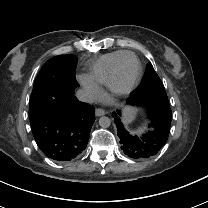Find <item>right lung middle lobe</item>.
I'll return each instance as SVG.
<instances>
[{
  "mask_svg": "<svg viewBox=\"0 0 208 208\" xmlns=\"http://www.w3.org/2000/svg\"><path fill=\"white\" fill-rule=\"evenodd\" d=\"M77 58L73 55L55 56L48 60L37 75L29 106L30 120L40 116L39 109L44 105L42 96L53 94L60 97L74 94L78 87L75 78Z\"/></svg>",
  "mask_w": 208,
  "mask_h": 208,
  "instance_id": "right-lung-middle-lobe-1",
  "label": "right lung middle lobe"
}]
</instances>
